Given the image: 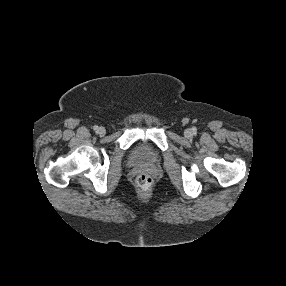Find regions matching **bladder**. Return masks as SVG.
<instances>
[{
	"label": "bladder",
	"instance_id": "bladder-1",
	"mask_svg": "<svg viewBox=\"0 0 286 286\" xmlns=\"http://www.w3.org/2000/svg\"><path fill=\"white\" fill-rule=\"evenodd\" d=\"M156 159V156L147 143L138 144L132 152V160L136 164H150L153 163Z\"/></svg>",
	"mask_w": 286,
	"mask_h": 286
}]
</instances>
